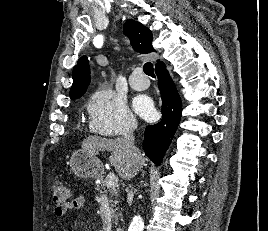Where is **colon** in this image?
<instances>
[{
    "label": "colon",
    "mask_w": 268,
    "mask_h": 231,
    "mask_svg": "<svg viewBox=\"0 0 268 231\" xmlns=\"http://www.w3.org/2000/svg\"><path fill=\"white\" fill-rule=\"evenodd\" d=\"M50 189L56 208L67 210L70 203V189L59 181L53 182Z\"/></svg>",
    "instance_id": "colon-1"
}]
</instances>
